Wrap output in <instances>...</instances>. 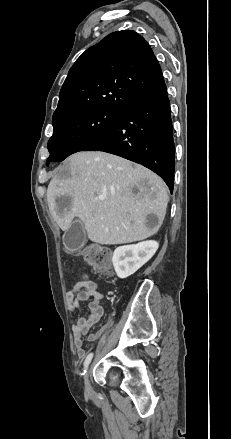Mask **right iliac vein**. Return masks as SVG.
<instances>
[{
	"label": "right iliac vein",
	"mask_w": 231,
	"mask_h": 439,
	"mask_svg": "<svg viewBox=\"0 0 231 439\" xmlns=\"http://www.w3.org/2000/svg\"><path fill=\"white\" fill-rule=\"evenodd\" d=\"M89 373H90V370H88V372H87V374H86V378H85V389H86V392L89 394V395H92L93 393H94V391H93V388H92V386H91V384H90V381H89Z\"/></svg>",
	"instance_id": "1"
}]
</instances>
